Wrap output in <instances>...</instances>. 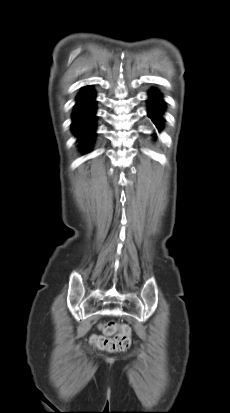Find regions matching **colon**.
<instances>
[{"mask_svg": "<svg viewBox=\"0 0 230 413\" xmlns=\"http://www.w3.org/2000/svg\"><path fill=\"white\" fill-rule=\"evenodd\" d=\"M102 335L91 338V343L99 350L108 352H122L131 346V329L128 325H119L115 321H108L101 327Z\"/></svg>", "mask_w": 230, "mask_h": 413, "instance_id": "5ec220e1", "label": "colon"}]
</instances>
